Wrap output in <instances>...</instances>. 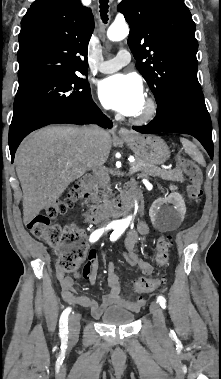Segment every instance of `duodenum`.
I'll use <instances>...</instances> for the list:
<instances>
[{"instance_id": "duodenum-1", "label": "duodenum", "mask_w": 221, "mask_h": 379, "mask_svg": "<svg viewBox=\"0 0 221 379\" xmlns=\"http://www.w3.org/2000/svg\"><path fill=\"white\" fill-rule=\"evenodd\" d=\"M81 187L90 195L88 208V218L91 222L101 223L110 218H117L126 215L131 211L138 200V192L134 185L129 184L125 189V194L118 197L111 203L100 204L92 199V177L84 176L80 180Z\"/></svg>"}]
</instances>
